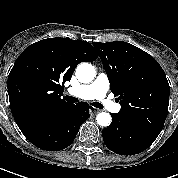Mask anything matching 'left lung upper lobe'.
Returning a JSON list of instances; mask_svg holds the SVG:
<instances>
[{"mask_svg": "<svg viewBox=\"0 0 178 178\" xmlns=\"http://www.w3.org/2000/svg\"><path fill=\"white\" fill-rule=\"evenodd\" d=\"M93 46L109 78L110 89L126 120L160 133L168 114L170 87L160 64L148 53L123 41Z\"/></svg>", "mask_w": 178, "mask_h": 178, "instance_id": "5c2ea615", "label": "left lung upper lobe"}]
</instances>
